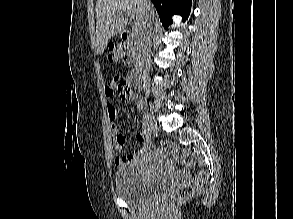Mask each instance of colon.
<instances>
[{
  "label": "colon",
  "instance_id": "obj_1",
  "mask_svg": "<svg viewBox=\"0 0 293 219\" xmlns=\"http://www.w3.org/2000/svg\"><path fill=\"white\" fill-rule=\"evenodd\" d=\"M130 56V51L124 44L117 46L112 45L109 47L108 59L111 63H117L121 61L126 62L130 59ZM110 85L121 101H127L130 99L132 92L122 78L114 77L110 82ZM163 148L165 151L171 154H175L177 152L176 144L170 140H165L163 142ZM207 179L208 174L206 172H200L194 180L184 182L172 192L169 203H180L188 199L200 188L202 184L207 181Z\"/></svg>",
  "mask_w": 293,
  "mask_h": 219
}]
</instances>
